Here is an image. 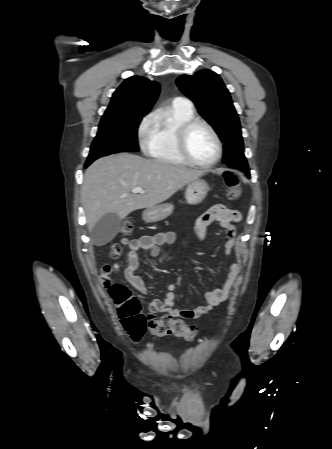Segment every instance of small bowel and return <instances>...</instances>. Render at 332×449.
Returning a JSON list of instances; mask_svg holds the SVG:
<instances>
[{
  "label": "small bowel",
  "mask_w": 332,
  "mask_h": 449,
  "mask_svg": "<svg viewBox=\"0 0 332 449\" xmlns=\"http://www.w3.org/2000/svg\"><path fill=\"white\" fill-rule=\"evenodd\" d=\"M242 215L238 210L230 209L223 204H216L202 213L195 224V233L198 240H203L207 228L212 223H218L225 231V254L230 256L236 245L237 228L236 224L241 221ZM177 238L171 232L157 233L152 236H143L138 239H122L121 242L128 246L127 267L124 270L125 279L140 293L147 294V287L142 278L135 274L139 268L140 250L150 252V257L155 259L160 253V248L164 245L174 244ZM120 269L117 263H106L101 268V282L104 286L111 284V275ZM240 265L232 262L225 276L222 286L209 290L204 294V304L190 310L174 308L175 283L167 284V293L164 299H154L149 304L148 312L150 318H155L158 314L168 313L173 317H183L185 319H198L208 314L214 307L227 299L240 272Z\"/></svg>",
  "instance_id": "small-bowel-1"
}]
</instances>
